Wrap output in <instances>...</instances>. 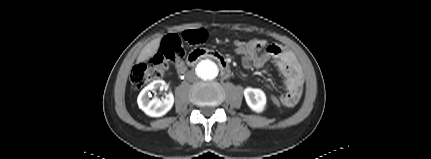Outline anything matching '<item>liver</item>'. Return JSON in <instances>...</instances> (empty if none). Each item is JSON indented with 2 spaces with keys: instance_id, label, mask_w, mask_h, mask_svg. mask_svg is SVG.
Returning a JSON list of instances; mask_svg holds the SVG:
<instances>
[{
  "instance_id": "6515ba94",
  "label": "liver",
  "mask_w": 431,
  "mask_h": 159,
  "mask_svg": "<svg viewBox=\"0 0 431 159\" xmlns=\"http://www.w3.org/2000/svg\"><path fill=\"white\" fill-rule=\"evenodd\" d=\"M160 42L161 38H157L145 45L144 48L141 50L136 63H143L153 57L160 47Z\"/></svg>"
}]
</instances>
